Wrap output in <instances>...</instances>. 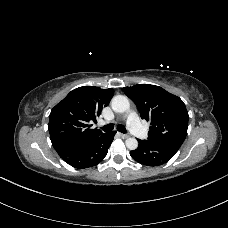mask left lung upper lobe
I'll use <instances>...</instances> for the list:
<instances>
[{"instance_id":"5c2ea615","label":"left lung upper lobe","mask_w":228,"mask_h":228,"mask_svg":"<svg viewBox=\"0 0 228 228\" xmlns=\"http://www.w3.org/2000/svg\"><path fill=\"white\" fill-rule=\"evenodd\" d=\"M136 104L142 119L151 121L148 140L182 145L187 135L188 112L183 101L150 84L123 88Z\"/></svg>"}]
</instances>
